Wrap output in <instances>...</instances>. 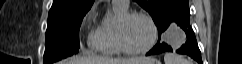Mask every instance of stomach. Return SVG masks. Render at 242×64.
Returning <instances> with one entry per match:
<instances>
[{"label": "stomach", "mask_w": 242, "mask_h": 64, "mask_svg": "<svg viewBox=\"0 0 242 64\" xmlns=\"http://www.w3.org/2000/svg\"><path fill=\"white\" fill-rule=\"evenodd\" d=\"M142 64H160V62L155 59L149 58V62L142 63Z\"/></svg>", "instance_id": "0dacf381"}]
</instances>
